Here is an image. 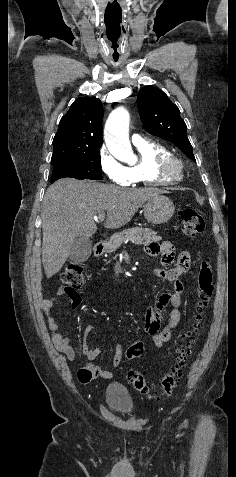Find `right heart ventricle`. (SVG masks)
Masks as SVG:
<instances>
[{"instance_id": "obj_1", "label": "right heart ventricle", "mask_w": 236, "mask_h": 477, "mask_svg": "<svg viewBox=\"0 0 236 477\" xmlns=\"http://www.w3.org/2000/svg\"><path fill=\"white\" fill-rule=\"evenodd\" d=\"M139 160L136 164L127 167L130 183L127 186L143 185H170L180 181V177L165 180L154 172V164L158 157L171 154L168 149L159 142L143 140L135 144Z\"/></svg>"}]
</instances>
